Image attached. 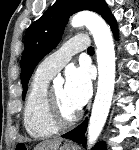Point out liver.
Returning a JSON list of instances; mask_svg holds the SVG:
<instances>
[{
	"label": "liver",
	"mask_w": 139,
	"mask_h": 150,
	"mask_svg": "<svg viewBox=\"0 0 139 150\" xmlns=\"http://www.w3.org/2000/svg\"><path fill=\"white\" fill-rule=\"evenodd\" d=\"M61 141L62 140L60 138L45 140L39 143L34 150H58Z\"/></svg>",
	"instance_id": "6515ba94"
}]
</instances>
